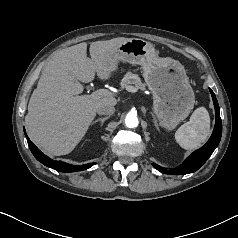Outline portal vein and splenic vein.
I'll return each instance as SVG.
<instances>
[{
    "mask_svg": "<svg viewBox=\"0 0 238 238\" xmlns=\"http://www.w3.org/2000/svg\"><path fill=\"white\" fill-rule=\"evenodd\" d=\"M127 90L130 91V92H135L136 91V89L133 88L132 86H129L127 88ZM111 96H112V93L110 91H108L107 89H99V90L94 91L91 94V97H93V98L111 97Z\"/></svg>",
    "mask_w": 238,
    "mask_h": 238,
    "instance_id": "obj_1",
    "label": "portal vein and splenic vein"
}]
</instances>
